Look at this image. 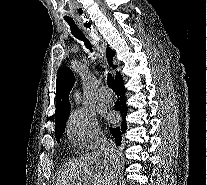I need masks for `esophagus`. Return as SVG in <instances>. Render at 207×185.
I'll return each mask as SVG.
<instances>
[{"label":"esophagus","mask_w":207,"mask_h":185,"mask_svg":"<svg viewBox=\"0 0 207 185\" xmlns=\"http://www.w3.org/2000/svg\"><path fill=\"white\" fill-rule=\"evenodd\" d=\"M77 14H84V9H77ZM77 20H82V23H85L84 20V15H77ZM88 33V38L92 41L93 45L97 49L98 52L104 53L105 52V47L104 45L100 42V38L95 30H89L87 31Z\"/></svg>","instance_id":"34e87169"}]
</instances>
